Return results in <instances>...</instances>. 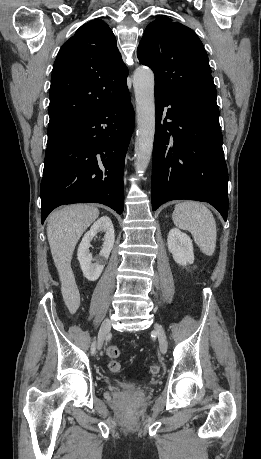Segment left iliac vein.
Here are the masks:
<instances>
[{
	"label": "left iliac vein",
	"mask_w": 261,
	"mask_h": 459,
	"mask_svg": "<svg viewBox=\"0 0 261 459\" xmlns=\"http://www.w3.org/2000/svg\"><path fill=\"white\" fill-rule=\"evenodd\" d=\"M154 331L158 337L159 348H160L161 353L166 354L167 349H168V344H167L166 334H165L163 327L160 324L156 323L154 325Z\"/></svg>",
	"instance_id": "4c4485c4"
}]
</instances>
